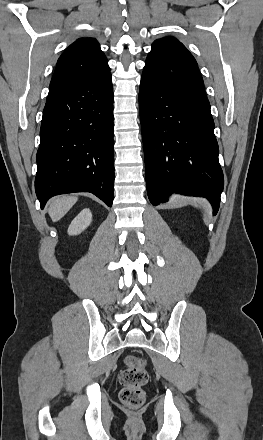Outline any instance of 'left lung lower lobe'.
Returning <instances> with one entry per match:
<instances>
[{
  "mask_svg": "<svg viewBox=\"0 0 263 440\" xmlns=\"http://www.w3.org/2000/svg\"><path fill=\"white\" fill-rule=\"evenodd\" d=\"M139 106L150 202H166L173 192L203 196L216 214L224 178L197 63L173 44L146 61Z\"/></svg>",
  "mask_w": 263,
  "mask_h": 440,
  "instance_id": "left-lung-lower-lobe-1",
  "label": "left lung lower lobe"
}]
</instances>
